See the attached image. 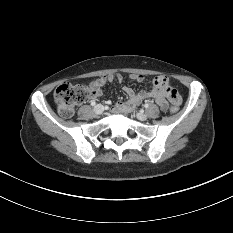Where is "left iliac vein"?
I'll return each mask as SVG.
<instances>
[{
  "label": "left iliac vein",
  "instance_id": "obj_1",
  "mask_svg": "<svg viewBox=\"0 0 233 233\" xmlns=\"http://www.w3.org/2000/svg\"><path fill=\"white\" fill-rule=\"evenodd\" d=\"M136 116H137V118H138L139 120H141V121H146V120L148 119L147 115L144 114V113H142V112H138V113L136 114Z\"/></svg>",
  "mask_w": 233,
  "mask_h": 233
}]
</instances>
